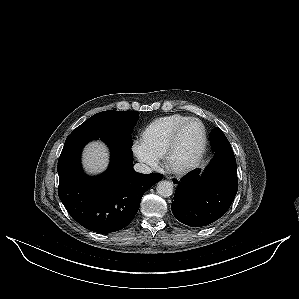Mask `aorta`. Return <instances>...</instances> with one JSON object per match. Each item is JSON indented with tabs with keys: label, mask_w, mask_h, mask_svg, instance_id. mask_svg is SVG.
I'll use <instances>...</instances> for the list:
<instances>
[{
	"label": "aorta",
	"mask_w": 299,
	"mask_h": 299,
	"mask_svg": "<svg viewBox=\"0 0 299 299\" xmlns=\"http://www.w3.org/2000/svg\"><path fill=\"white\" fill-rule=\"evenodd\" d=\"M156 191L162 197H169L173 193V184L169 181L162 180L157 183Z\"/></svg>",
	"instance_id": "obj_1"
}]
</instances>
